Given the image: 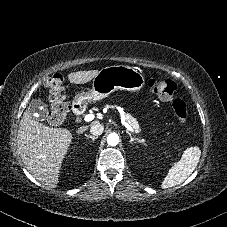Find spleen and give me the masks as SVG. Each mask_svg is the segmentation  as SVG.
<instances>
[{
	"label": "spleen",
	"mask_w": 227,
	"mask_h": 227,
	"mask_svg": "<svg viewBox=\"0 0 227 227\" xmlns=\"http://www.w3.org/2000/svg\"><path fill=\"white\" fill-rule=\"evenodd\" d=\"M201 150L197 146L187 148L181 159L168 171L161 183L163 189L171 188L186 180L197 167Z\"/></svg>",
	"instance_id": "3e777b00"
}]
</instances>
